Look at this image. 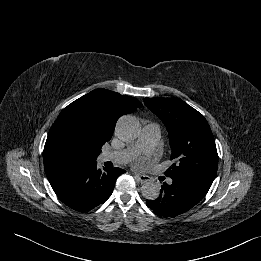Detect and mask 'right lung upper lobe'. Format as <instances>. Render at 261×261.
<instances>
[{
	"mask_svg": "<svg viewBox=\"0 0 261 261\" xmlns=\"http://www.w3.org/2000/svg\"><path fill=\"white\" fill-rule=\"evenodd\" d=\"M139 107L142 104L136 98L103 88L72 102L61 111L48 133L43 151L46 176L96 162L101 147L111 139L117 120ZM78 129L93 132L94 145L80 148L74 135Z\"/></svg>",
	"mask_w": 261,
	"mask_h": 261,
	"instance_id": "1",
	"label": "right lung upper lobe"
}]
</instances>
